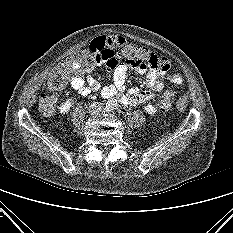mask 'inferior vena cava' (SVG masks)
Returning a JSON list of instances; mask_svg holds the SVG:
<instances>
[{
	"label": "inferior vena cava",
	"instance_id": "obj_1",
	"mask_svg": "<svg viewBox=\"0 0 233 233\" xmlns=\"http://www.w3.org/2000/svg\"><path fill=\"white\" fill-rule=\"evenodd\" d=\"M101 108H102V104L99 102H95L92 105H90V112L95 114V113L101 111Z\"/></svg>",
	"mask_w": 233,
	"mask_h": 233
}]
</instances>
